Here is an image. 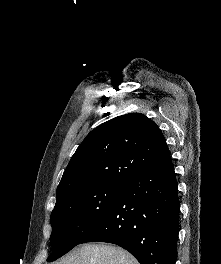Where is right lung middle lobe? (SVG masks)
I'll return each instance as SVG.
<instances>
[{
	"instance_id": "1",
	"label": "right lung middle lobe",
	"mask_w": 221,
	"mask_h": 264,
	"mask_svg": "<svg viewBox=\"0 0 221 264\" xmlns=\"http://www.w3.org/2000/svg\"><path fill=\"white\" fill-rule=\"evenodd\" d=\"M125 188V182L101 183L67 197L55 205L50 222L54 261L80 244L106 217Z\"/></svg>"
}]
</instances>
